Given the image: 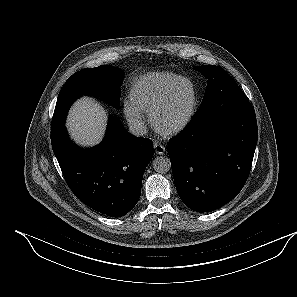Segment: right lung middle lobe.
<instances>
[{
  "label": "right lung middle lobe",
  "mask_w": 297,
  "mask_h": 297,
  "mask_svg": "<svg viewBox=\"0 0 297 297\" xmlns=\"http://www.w3.org/2000/svg\"><path fill=\"white\" fill-rule=\"evenodd\" d=\"M123 77V70L108 65L83 69L69 77L57 99L51 135L61 129L70 106L82 95L100 96L118 107Z\"/></svg>",
  "instance_id": "1"
}]
</instances>
